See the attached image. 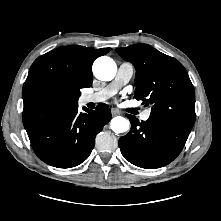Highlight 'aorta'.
<instances>
[{"instance_id": "aorta-1", "label": "aorta", "mask_w": 221, "mask_h": 221, "mask_svg": "<svg viewBox=\"0 0 221 221\" xmlns=\"http://www.w3.org/2000/svg\"><path fill=\"white\" fill-rule=\"evenodd\" d=\"M117 67L113 59L102 56L93 64L95 76L102 81H110L116 75ZM111 129L115 133H124L129 130L130 122L125 117L117 116L111 120Z\"/></svg>"}]
</instances>
